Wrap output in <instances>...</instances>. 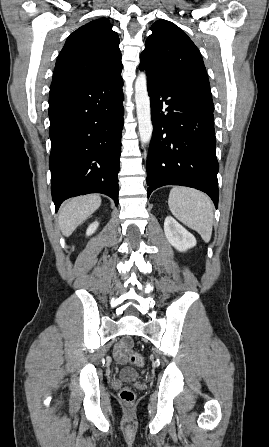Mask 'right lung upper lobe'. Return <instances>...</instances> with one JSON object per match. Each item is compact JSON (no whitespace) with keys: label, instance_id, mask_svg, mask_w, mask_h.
<instances>
[{"label":"right lung upper lobe","instance_id":"cb5924a9","mask_svg":"<svg viewBox=\"0 0 269 447\" xmlns=\"http://www.w3.org/2000/svg\"><path fill=\"white\" fill-rule=\"evenodd\" d=\"M119 37L107 19L93 20L66 40L53 74L51 88L99 83L121 73Z\"/></svg>","mask_w":269,"mask_h":447}]
</instances>
